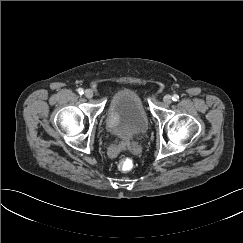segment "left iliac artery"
<instances>
[{
  "label": "left iliac artery",
  "mask_w": 243,
  "mask_h": 243,
  "mask_svg": "<svg viewBox=\"0 0 243 243\" xmlns=\"http://www.w3.org/2000/svg\"><path fill=\"white\" fill-rule=\"evenodd\" d=\"M172 99L174 101H178L179 100V96L177 94H174L173 97H172Z\"/></svg>",
  "instance_id": "obj_1"
}]
</instances>
